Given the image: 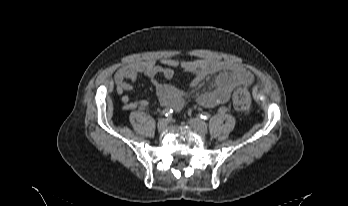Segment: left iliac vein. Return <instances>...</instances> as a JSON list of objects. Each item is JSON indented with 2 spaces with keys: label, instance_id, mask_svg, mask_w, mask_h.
<instances>
[{
  "label": "left iliac vein",
  "instance_id": "obj_1",
  "mask_svg": "<svg viewBox=\"0 0 348 206\" xmlns=\"http://www.w3.org/2000/svg\"><path fill=\"white\" fill-rule=\"evenodd\" d=\"M188 124L195 130L200 131L202 133H206L208 130L207 124L204 121L197 118L190 119L188 121Z\"/></svg>",
  "mask_w": 348,
  "mask_h": 206
}]
</instances>
